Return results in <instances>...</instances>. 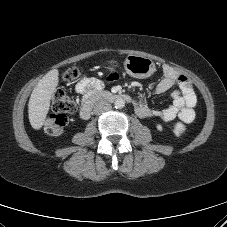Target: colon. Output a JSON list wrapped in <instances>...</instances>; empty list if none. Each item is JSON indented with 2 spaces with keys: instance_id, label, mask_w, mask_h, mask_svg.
<instances>
[{
  "instance_id": "5ec220e1",
  "label": "colon",
  "mask_w": 227,
  "mask_h": 227,
  "mask_svg": "<svg viewBox=\"0 0 227 227\" xmlns=\"http://www.w3.org/2000/svg\"><path fill=\"white\" fill-rule=\"evenodd\" d=\"M79 76L77 68L69 69L65 74V79L74 81ZM52 108L54 113L50 114L44 123V130L50 136L60 135L67 123V114L75 111L76 104L72 97H70L64 90L58 89L52 96Z\"/></svg>"
}]
</instances>
